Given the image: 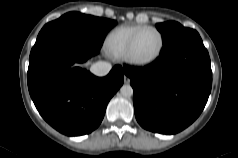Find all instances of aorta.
<instances>
[{
    "mask_svg": "<svg viewBox=\"0 0 238 158\" xmlns=\"http://www.w3.org/2000/svg\"><path fill=\"white\" fill-rule=\"evenodd\" d=\"M120 92L124 97H130L133 95V89L130 85H123Z\"/></svg>",
    "mask_w": 238,
    "mask_h": 158,
    "instance_id": "obj_1",
    "label": "aorta"
}]
</instances>
